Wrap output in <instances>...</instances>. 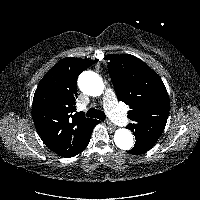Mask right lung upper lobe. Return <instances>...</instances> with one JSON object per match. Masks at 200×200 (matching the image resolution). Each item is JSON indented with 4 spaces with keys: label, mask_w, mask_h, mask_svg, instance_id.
<instances>
[{
    "label": "right lung upper lobe",
    "mask_w": 200,
    "mask_h": 200,
    "mask_svg": "<svg viewBox=\"0 0 200 200\" xmlns=\"http://www.w3.org/2000/svg\"><path fill=\"white\" fill-rule=\"evenodd\" d=\"M91 63L88 59H62L42 78L34 94V124L46 146L62 157L74 154L96 121L75 110L77 78Z\"/></svg>",
    "instance_id": "1"
}]
</instances>
